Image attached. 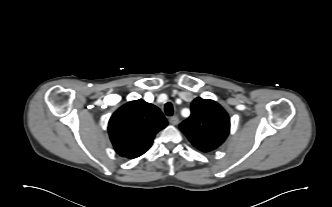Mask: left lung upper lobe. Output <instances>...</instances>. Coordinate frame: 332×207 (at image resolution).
<instances>
[{
	"label": "left lung upper lobe",
	"mask_w": 332,
	"mask_h": 207,
	"mask_svg": "<svg viewBox=\"0 0 332 207\" xmlns=\"http://www.w3.org/2000/svg\"><path fill=\"white\" fill-rule=\"evenodd\" d=\"M181 131L202 152L218 148L230 131V119L217 102L197 97L191 104V116L180 124Z\"/></svg>",
	"instance_id": "obj_1"
}]
</instances>
